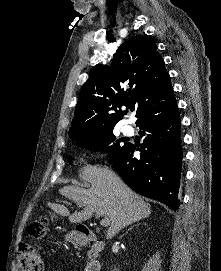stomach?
I'll use <instances>...</instances> for the list:
<instances>
[{
	"instance_id": "stomach-1",
	"label": "stomach",
	"mask_w": 221,
	"mask_h": 271,
	"mask_svg": "<svg viewBox=\"0 0 221 271\" xmlns=\"http://www.w3.org/2000/svg\"><path fill=\"white\" fill-rule=\"evenodd\" d=\"M66 238H81V233H73V231H70V233H66Z\"/></svg>"
}]
</instances>
